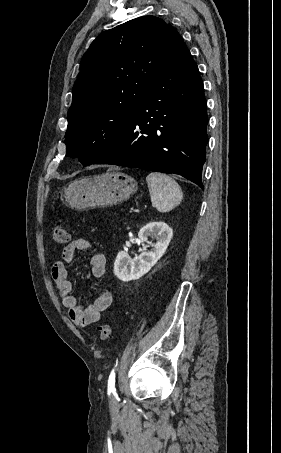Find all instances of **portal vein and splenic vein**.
I'll return each mask as SVG.
<instances>
[{
    "label": "portal vein and splenic vein",
    "instance_id": "portal-vein-and-splenic-vein-1",
    "mask_svg": "<svg viewBox=\"0 0 281 453\" xmlns=\"http://www.w3.org/2000/svg\"><path fill=\"white\" fill-rule=\"evenodd\" d=\"M142 210H143L142 208H139V211H142ZM129 212H130V213H131V212L138 213V209H137V207L134 206V207H131V208H130V211H129Z\"/></svg>",
    "mask_w": 281,
    "mask_h": 453
}]
</instances>
